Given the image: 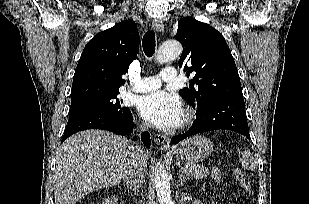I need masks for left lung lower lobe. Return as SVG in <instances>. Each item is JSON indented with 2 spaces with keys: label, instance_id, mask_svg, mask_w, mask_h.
Masks as SVG:
<instances>
[{
  "label": "left lung lower lobe",
  "instance_id": "0a47b994",
  "mask_svg": "<svg viewBox=\"0 0 309 204\" xmlns=\"http://www.w3.org/2000/svg\"><path fill=\"white\" fill-rule=\"evenodd\" d=\"M218 129L232 130L249 139L243 98L219 99L197 110L193 126L184 134L172 137L171 142L177 144L187 137Z\"/></svg>",
  "mask_w": 309,
  "mask_h": 204
}]
</instances>
